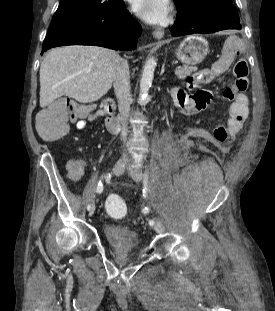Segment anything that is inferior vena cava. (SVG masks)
Listing matches in <instances>:
<instances>
[{"instance_id": "inferior-vena-cava-1", "label": "inferior vena cava", "mask_w": 275, "mask_h": 311, "mask_svg": "<svg viewBox=\"0 0 275 311\" xmlns=\"http://www.w3.org/2000/svg\"><path fill=\"white\" fill-rule=\"evenodd\" d=\"M113 66V86L118 101L119 115L122 120V139L125 142L127 138V119L130 111V77L129 65L127 61L118 55L112 59ZM124 158H127L126 153Z\"/></svg>"}]
</instances>
